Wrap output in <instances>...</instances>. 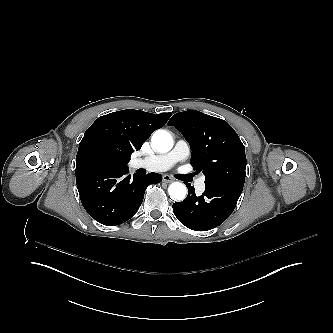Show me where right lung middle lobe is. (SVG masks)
Returning a JSON list of instances; mask_svg holds the SVG:
<instances>
[{"label":"right lung middle lobe","mask_w":333,"mask_h":333,"mask_svg":"<svg viewBox=\"0 0 333 333\" xmlns=\"http://www.w3.org/2000/svg\"><path fill=\"white\" fill-rule=\"evenodd\" d=\"M88 166L102 167V168H116L118 165L110 160L107 156L101 153H95L89 160Z\"/></svg>","instance_id":"right-lung-middle-lobe-1"}]
</instances>
